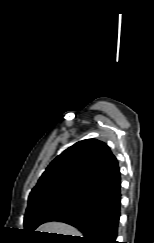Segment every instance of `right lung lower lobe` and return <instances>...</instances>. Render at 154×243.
Returning a JSON list of instances; mask_svg holds the SVG:
<instances>
[{
    "label": "right lung lower lobe",
    "mask_w": 154,
    "mask_h": 243,
    "mask_svg": "<svg viewBox=\"0 0 154 243\" xmlns=\"http://www.w3.org/2000/svg\"><path fill=\"white\" fill-rule=\"evenodd\" d=\"M121 182L74 208H66L48 221H60L79 229L84 237L78 243H118Z\"/></svg>",
    "instance_id": "1"
}]
</instances>
